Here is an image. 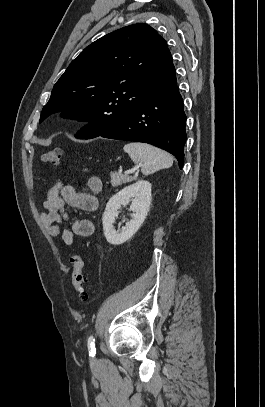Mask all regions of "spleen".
<instances>
[{
    "mask_svg": "<svg viewBox=\"0 0 265 407\" xmlns=\"http://www.w3.org/2000/svg\"><path fill=\"white\" fill-rule=\"evenodd\" d=\"M124 151L134 163L141 166L144 175L169 168L173 164V159L167 152L146 143H128L124 146Z\"/></svg>",
    "mask_w": 265,
    "mask_h": 407,
    "instance_id": "3e777b00",
    "label": "spleen"
}]
</instances>
